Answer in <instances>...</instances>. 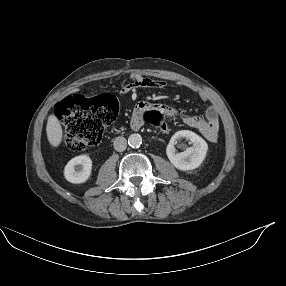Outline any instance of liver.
I'll return each instance as SVG.
<instances>
[{
	"label": "liver",
	"instance_id": "6515ba94",
	"mask_svg": "<svg viewBox=\"0 0 286 286\" xmlns=\"http://www.w3.org/2000/svg\"><path fill=\"white\" fill-rule=\"evenodd\" d=\"M46 133L51 146L58 147L61 144L63 131L61 124L55 115H50L48 117Z\"/></svg>",
	"mask_w": 286,
	"mask_h": 286
}]
</instances>
